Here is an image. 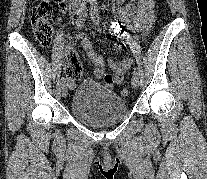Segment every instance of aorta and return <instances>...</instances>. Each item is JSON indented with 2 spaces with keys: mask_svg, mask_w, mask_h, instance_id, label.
I'll use <instances>...</instances> for the list:
<instances>
[{
  "mask_svg": "<svg viewBox=\"0 0 207 179\" xmlns=\"http://www.w3.org/2000/svg\"><path fill=\"white\" fill-rule=\"evenodd\" d=\"M91 4H96L97 0H88Z\"/></svg>",
  "mask_w": 207,
  "mask_h": 179,
  "instance_id": "762f6f07",
  "label": "aorta"
}]
</instances>
